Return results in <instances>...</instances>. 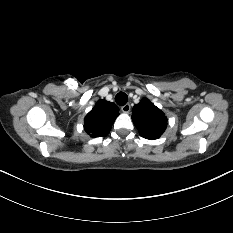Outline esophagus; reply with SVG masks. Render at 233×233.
Wrapping results in <instances>:
<instances>
[{"instance_id": "obj_1", "label": "esophagus", "mask_w": 233, "mask_h": 233, "mask_svg": "<svg viewBox=\"0 0 233 233\" xmlns=\"http://www.w3.org/2000/svg\"><path fill=\"white\" fill-rule=\"evenodd\" d=\"M130 109H131L130 104H125V105H123V106L121 107V110H122V112H124V113H128V112L130 111Z\"/></svg>"}]
</instances>
